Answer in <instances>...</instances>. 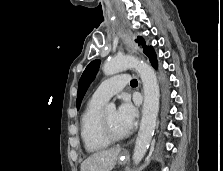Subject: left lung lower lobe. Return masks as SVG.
Here are the masks:
<instances>
[{
    "mask_svg": "<svg viewBox=\"0 0 223 171\" xmlns=\"http://www.w3.org/2000/svg\"><path fill=\"white\" fill-rule=\"evenodd\" d=\"M145 54L149 57L151 64L156 68L157 67V59H156V54H155L153 48L149 47Z\"/></svg>",
    "mask_w": 223,
    "mask_h": 171,
    "instance_id": "1",
    "label": "left lung lower lobe"
}]
</instances>
